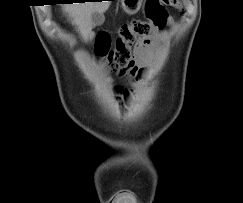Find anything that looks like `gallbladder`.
Listing matches in <instances>:
<instances>
[{"label":"gallbladder","instance_id":"gallbladder-1","mask_svg":"<svg viewBox=\"0 0 243 203\" xmlns=\"http://www.w3.org/2000/svg\"><path fill=\"white\" fill-rule=\"evenodd\" d=\"M92 23L95 26H100L104 23V16L101 13L94 12L92 14Z\"/></svg>","mask_w":243,"mask_h":203}]
</instances>
